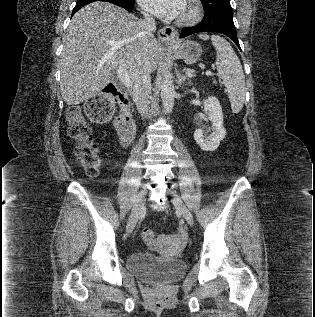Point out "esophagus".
I'll use <instances>...</instances> for the list:
<instances>
[{
  "instance_id": "34e87169",
  "label": "esophagus",
  "mask_w": 315,
  "mask_h": 317,
  "mask_svg": "<svg viewBox=\"0 0 315 317\" xmlns=\"http://www.w3.org/2000/svg\"><path fill=\"white\" fill-rule=\"evenodd\" d=\"M178 38V32L171 26L162 27L158 30V39L162 45L168 46Z\"/></svg>"
}]
</instances>
